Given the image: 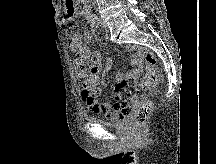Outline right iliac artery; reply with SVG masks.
<instances>
[{"mask_svg": "<svg viewBox=\"0 0 216 164\" xmlns=\"http://www.w3.org/2000/svg\"><path fill=\"white\" fill-rule=\"evenodd\" d=\"M91 24H92V26H95V27L97 28V27H99V25H100V21H99L98 18H93V19L91 20Z\"/></svg>", "mask_w": 216, "mask_h": 164, "instance_id": "1", "label": "right iliac artery"}]
</instances>
